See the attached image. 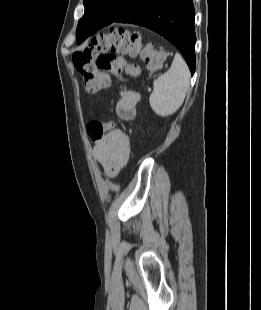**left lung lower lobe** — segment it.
Returning <instances> with one entry per match:
<instances>
[{
  "instance_id": "obj_1",
  "label": "left lung lower lobe",
  "mask_w": 261,
  "mask_h": 310,
  "mask_svg": "<svg viewBox=\"0 0 261 310\" xmlns=\"http://www.w3.org/2000/svg\"><path fill=\"white\" fill-rule=\"evenodd\" d=\"M195 11L192 0H128L111 21H88L77 35V43L113 22L147 27L172 42L183 54L191 74L195 72Z\"/></svg>"
}]
</instances>
